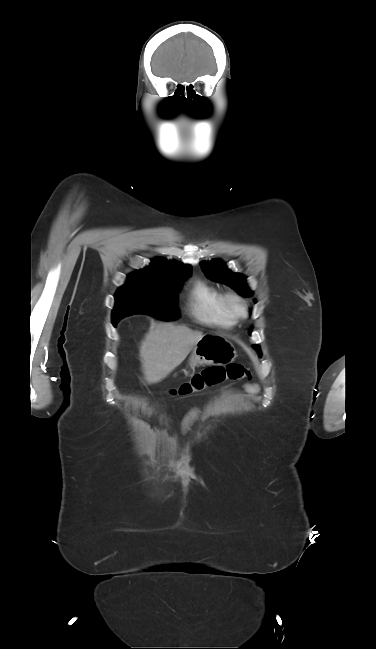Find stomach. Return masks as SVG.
<instances>
[{
  "mask_svg": "<svg viewBox=\"0 0 376 649\" xmlns=\"http://www.w3.org/2000/svg\"><path fill=\"white\" fill-rule=\"evenodd\" d=\"M237 357L231 342L217 335H205L195 345L189 359V366L228 365Z\"/></svg>",
  "mask_w": 376,
  "mask_h": 649,
  "instance_id": "1",
  "label": "stomach"
}]
</instances>
